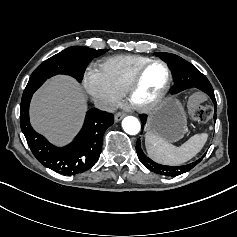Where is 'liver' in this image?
<instances>
[{
  "mask_svg": "<svg viewBox=\"0 0 237 237\" xmlns=\"http://www.w3.org/2000/svg\"><path fill=\"white\" fill-rule=\"evenodd\" d=\"M85 108L81 87L72 79L57 77L35 94L31 119L34 127L52 142L64 144L78 129Z\"/></svg>",
  "mask_w": 237,
  "mask_h": 237,
  "instance_id": "obj_1",
  "label": "liver"
}]
</instances>
